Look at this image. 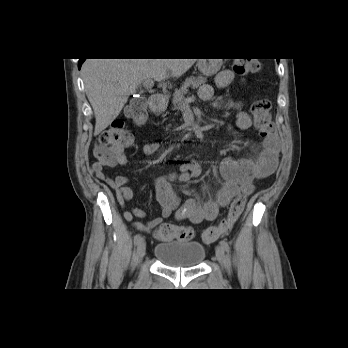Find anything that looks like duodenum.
I'll use <instances>...</instances> for the list:
<instances>
[{"label": "duodenum", "mask_w": 348, "mask_h": 348, "mask_svg": "<svg viewBox=\"0 0 348 348\" xmlns=\"http://www.w3.org/2000/svg\"><path fill=\"white\" fill-rule=\"evenodd\" d=\"M152 111H161L164 107V99L161 95H153L149 102Z\"/></svg>", "instance_id": "duodenum-1"}]
</instances>
